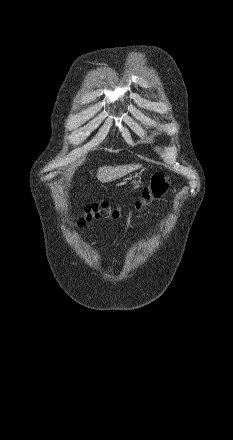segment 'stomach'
I'll use <instances>...</instances> for the list:
<instances>
[{
  "label": "stomach",
  "mask_w": 233,
  "mask_h": 440,
  "mask_svg": "<svg viewBox=\"0 0 233 440\" xmlns=\"http://www.w3.org/2000/svg\"><path fill=\"white\" fill-rule=\"evenodd\" d=\"M131 183L133 184L134 189H136L140 186L139 184L141 183V181L133 179Z\"/></svg>",
  "instance_id": "1"
}]
</instances>
